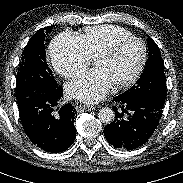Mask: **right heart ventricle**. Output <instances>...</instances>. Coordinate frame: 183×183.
Returning a JSON list of instances; mask_svg holds the SVG:
<instances>
[{"mask_svg": "<svg viewBox=\"0 0 183 183\" xmlns=\"http://www.w3.org/2000/svg\"><path fill=\"white\" fill-rule=\"evenodd\" d=\"M132 36L124 28L114 25H101L86 28L79 36L82 46L90 59L117 39Z\"/></svg>", "mask_w": 183, "mask_h": 183, "instance_id": "1", "label": "right heart ventricle"}]
</instances>
